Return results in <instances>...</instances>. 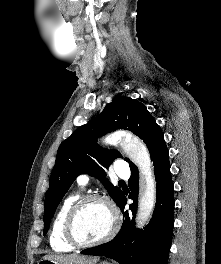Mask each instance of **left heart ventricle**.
<instances>
[{
  "label": "left heart ventricle",
  "mask_w": 221,
  "mask_h": 264,
  "mask_svg": "<svg viewBox=\"0 0 221 264\" xmlns=\"http://www.w3.org/2000/svg\"><path fill=\"white\" fill-rule=\"evenodd\" d=\"M110 225L111 215L107 207L101 203L90 202L79 211L75 231L81 241L91 242L105 236Z\"/></svg>",
  "instance_id": "left-heart-ventricle-1"
}]
</instances>
